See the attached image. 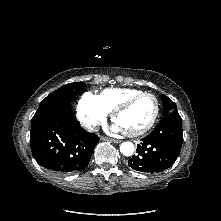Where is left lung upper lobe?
Listing matches in <instances>:
<instances>
[{"label": "left lung upper lobe", "instance_id": "obj_1", "mask_svg": "<svg viewBox=\"0 0 221 221\" xmlns=\"http://www.w3.org/2000/svg\"><path fill=\"white\" fill-rule=\"evenodd\" d=\"M165 116L178 114L176 104L164 94L162 95Z\"/></svg>", "mask_w": 221, "mask_h": 221}]
</instances>
